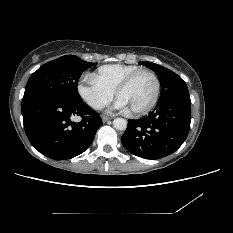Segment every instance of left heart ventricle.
Masks as SVG:
<instances>
[{"label":"left heart ventricle","mask_w":233,"mask_h":233,"mask_svg":"<svg viewBox=\"0 0 233 233\" xmlns=\"http://www.w3.org/2000/svg\"><path fill=\"white\" fill-rule=\"evenodd\" d=\"M155 84L149 74L139 75L132 84L122 91L120 98L129 110H137L146 107L153 98Z\"/></svg>","instance_id":"1"}]
</instances>
